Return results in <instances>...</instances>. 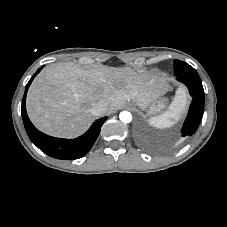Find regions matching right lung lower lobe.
<instances>
[{"instance_id": "98d812e1", "label": "right lung lower lobe", "mask_w": 227, "mask_h": 227, "mask_svg": "<svg viewBox=\"0 0 227 227\" xmlns=\"http://www.w3.org/2000/svg\"><path fill=\"white\" fill-rule=\"evenodd\" d=\"M43 68H39L33 77L29 80L25 88V93L22 100L21 114L26 132L31 141L45 154L63 160H74L83 157L91 149L96 141L101 126L107 120V117H103L95 121L90 129L82 136L76 139H60L48 136L39 130H37L31 123L26 112V95L27 90L33 81L34 77Z\"/></svg>"}]
</instances>
